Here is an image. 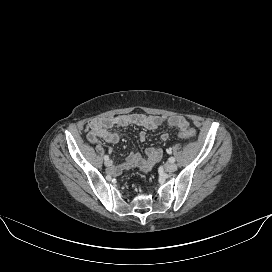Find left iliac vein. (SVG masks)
I'll use <instances>...</instances> for the list:
<instances>
[{"mask_svg": "<svg viewBox=\"0 0 272 272\" xmlns=\"http://www.w3.org/2000/svg\"><path fill=\"white\" fill-rule=\"evenodd\" d=\"M166 172L172 173L177 170V165L175 163H168L165 165Z\"/></svg>", "mask_w": 272, "mask_h": 272, "instance_id": "4c4485c4", "label": "left iliac vein"}]
</instances>
